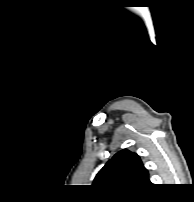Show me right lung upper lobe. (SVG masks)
<instances>
[{
    "label": "right lung upper lobe",
    "mask_w": 194,
    "mask_h": 202,
    "mask_svg": "<svg viewBox=\"0 0 194 202\" xmlns=\"http://www.w3.org/2000/svg\"><path fill=\"white\" fill-rule=\"evenodd\" d=\"M93 185L110 192H132L152 186L139 156L123 149L96 175Z\"/></svg>",
    "instance_id": "right-lung-upper-lobe-1"
}]
</instances>
